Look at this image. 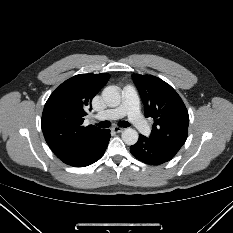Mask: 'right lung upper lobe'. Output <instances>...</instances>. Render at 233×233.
<instances>
[{
  "label": "right lung upper lobe",
  "mask_w": 233,
  "mask_h": 233,
  "mask_svg": "<svg viewBox=\"0 0 233 233\" xmlns=\"http://www.w3.org/2000/svg\"><path fill=\"white\" fill-rule=\"evenodd\" d=\"M109 77L105 73L73 76L48 98L41 126L47 144L59 159L76 152L101 131L92 125L84 127L83 121L93 97Z\"/></svg>",
  "instance_id": "cb5924a9"
}]
</instances>
